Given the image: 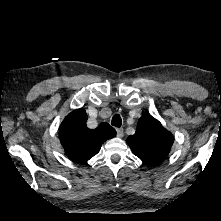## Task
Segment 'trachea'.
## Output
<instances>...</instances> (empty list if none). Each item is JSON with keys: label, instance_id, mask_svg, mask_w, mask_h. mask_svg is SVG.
Masks as SVG:
<instances>
[{"label": "trachea", "instance_id": "1", "mask_svg": "<svg viewBox=\"0 0 221 221\" xmlns=\"http://www.w3.org/2000/svg\"><path fill=\"white\" fill-rule=\"evenodd\" d=\"M111 125H113L115 127H121L122 119L119 114H116L112 117Z\"/></svg>", "mask_w": 221, "mask_h": 221}]
</instances>
